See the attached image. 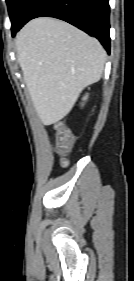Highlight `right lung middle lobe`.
<instances>
[{
	"label": "right lung middle lobe",
	"mask_w": 134,
	"mask_h": 281,
	"mask_svg": "<svg viewBox=\"0 0 134 281\" xmlns=\"http://www.w3.org/2000/svg\"><path fill=\"white\" fill-rule=\"evenodd\" d=\"M30 0H6L11 19L12 32L21 24L24 10Z\"/></svg>",
	"instance_id": "right-lung-middle-lobe-1"
}]
</instances>
